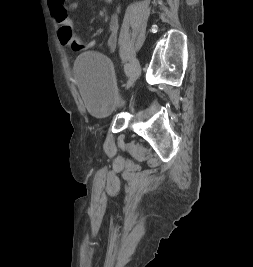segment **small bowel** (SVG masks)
<instances>
[{
	"mask_svg": "<svg viewBox=\"0 0 253 267\" xmlns=\"http://www.w3.org/2000/svg\"><path fill=\"white\" fill-rule=\"evenodd\" d=\"M113 2L114 0H105ZM81 4V0H75L72 3H67V0H48V7L54 20L60 25H68L72 27L70 11L75 10ZM119 30V18L117 14H113L108 21L109 35L107 38V46L111 51H114L117 46Z\"/></svg>",
	"mask_w": 253,
	"mask_h": 267,
	"instance_id": "obj_1",
	"label": "small bowel"
}]
</instances>
